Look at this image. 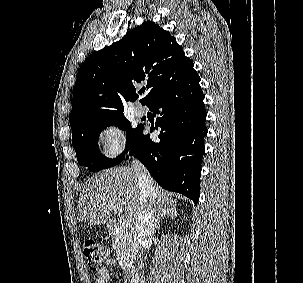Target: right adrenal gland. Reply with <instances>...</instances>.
<instances>
[{
  "label": "right adrenal gland",
  "instance_id": "2a0ac1e0",
  "mask_svg": "<svg viewBox=\"0 0 303 283\" xmlns=\"http://www.w3.org/2000/svg\"><path fill=\"white\" fill-rule=\"evenodd\" d=\"M178 215V212L176 209H171V210H166V211H161L157 218H156V224H155V229L154 231L156 232L159 227H160V223L163 219L165 218H175Z\"/></svg>",
  "mask_w": 303,
  "mask_h": 283
}]
</instances>
